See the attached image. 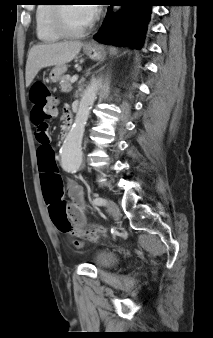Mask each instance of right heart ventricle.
Masks as SVG:
<instances>
[{"instance_id": "right-heart-ventricle-1", "label": "right heart ventricle", "mask_w": 213, "mask_h": 338, "mask_svg": "<svg viewBox=\"0 0 213 338\" xmlns=\"http://www.w3.org/2000/svg\"><path fill=\"white\" fill-rule=\"evenodd\" d=\"M35 11L36 34L40 41L53 43L61 39V36L52 27L53 7L48 1H40Z\"/></svg>"}]
</instances>
